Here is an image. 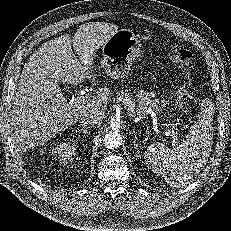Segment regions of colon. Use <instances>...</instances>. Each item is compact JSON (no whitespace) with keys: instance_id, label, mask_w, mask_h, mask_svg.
<instances>
[{"instance_id":"obj_1","label":"colon","mask_w":231,"mask_h":231,"mask_svg":"<svg viewBox=\"0 0 231 231\" xmlns=\"http://www.w3.org/2000/svg\"><path fill=\"white\" fill-rule=\"evenodd\" d=\"M169 59L174 66L186 71L191 64L192 53L187 49L176 48L169 53ZM177 97L182 105L188 106L191 104L193 93L190 86L188 84L179 86L177 89Z\"/></svg>"}]
</instances>
